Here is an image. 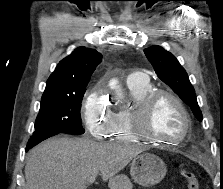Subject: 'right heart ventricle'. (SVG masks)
Returning <instances> with one entry per match:
<instances>
[{
    "instance_id": "e07e8e85",
    "label": "right heart ventricle",
    "mask_w": 223,
    "mask_h": 189,
    "mask_svg": "<svg viewBox=\"0 0 223 189\" xmlns=\"http://www.w3.org/2000/svg\"><path fill=\"white\" fill-rule=\"evenodd\" d=\"M128 88L133 106L153 91V86L149 81L141 85H128ZM133 106L121 108L112 113L111 126L107 136L121 142H135L138 140L130 121Z\"/></svg>"
}]
</instances>
